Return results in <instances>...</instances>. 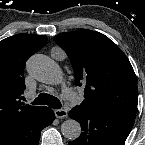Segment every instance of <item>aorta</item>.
Returning a JSON list of instances; mask_svg holds the SVG:
<instances>
[{
  "instance_id": "1",
  "label": "aorta",
  "mask_w": 145,
  "mask_h": 145,
  "mask_svg": "<svg viewBox=\"0 0 145 145\" xmlns=\"http://www.w3.org/2000/svg\"><path fill=\"white\" fill-rule=\"evenodd\" d=\"M28 72L38 81L46 84H57L61 78V71L58 65L49 57L35 54L27 62ZM62 135L75 140L81 134V126L74 119H68L61 125Z\"/></svg>"
}]
</instances>
